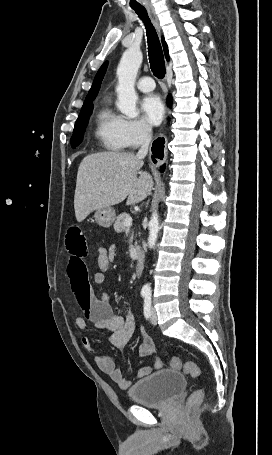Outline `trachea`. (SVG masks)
<instances>
[{"label": "trachea", "instance_id": "obj_1", "mask_svg": "<svg viewBox=\"0 0 272 455\" xmlns=\"http://www.w3.org/2000/svg\"><path fill=\"white\" fill-rule=\"evenodd\" d=\"M133 9L146 26L150 68L154 76L162 79L165 76V61L157 32L152 25L147 15V11L144 7H135Z\"/></svg>", "mask_w": 272, "mask_h": 455}]
</instances>
